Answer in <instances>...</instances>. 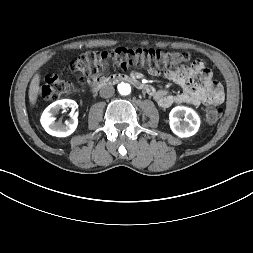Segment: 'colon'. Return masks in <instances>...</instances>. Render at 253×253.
<instances>
[{
  "instance_id": "5ec220e1",
  "label": "colon",
  "mask_w": 253,
  "mask_h": 253,
  "mask_svg": "<svg viewBox=\"0 0 253 253\" xmlns=\"http://www.w3.org/2000/svg\"><path fill=\"white\" fill-rule=\"evenodd\" d=\"M188 59L186 52H170L156 49H131L119 47L108 51H89L77 55L69 64V69L80 76V83H95L103 79L109 67L127 69L135 66L178 65ZM75 84L59 78L57 75H48L39 88L40 96L46 100H53L70 93ZM205 120L209 124L218 122L221 110L212 104L204 108Z\"/></svg>"
}]
</instances>
